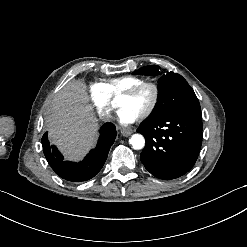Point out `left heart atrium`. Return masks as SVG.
<instances>
[{
	"label": "left heart atrium",
	"instance_id": "1",
	"mask_svg": "<svg viewBox=\"0 0 247 247\" xmlns=\"http://www.w3.org/2000/svg\"><path fill=\"white\" fill-rule=\"evenodd\" d=\"M141 111L133 105H127L118 115V120L123 125H129L140 119Z\"/></svg>",
	"mask_w": 247,
	"mask_h": 247
}]
</instances>
